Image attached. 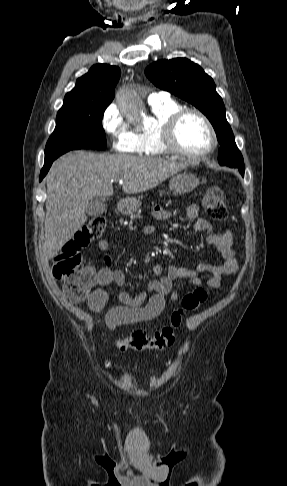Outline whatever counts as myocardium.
<instances>
[{"mask_svg": "<svg viewBox=\"0 0 287 486\" xmlns=\"http://www.w3.org/2000/svg\"><path fill=\"white\" fill-rule=\"evenodd\" d=\"M194 114L198 116L205 124L210 134V145L203 151L200 152H188L183 150L176 141V131L180 121L187 115ZM159 137L164 149L173 155L197 159L203 158L215 151L218 146V137L215 128L209 118L197 108H180L178 111L171 114L167 120L162 124Z\"/></svg>", "mask_w": 287, "mask_h": 486, "instance_id": "f54148a6", "label": "myocardium"}]
</instances>
